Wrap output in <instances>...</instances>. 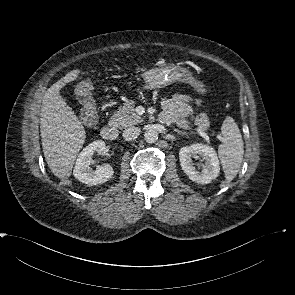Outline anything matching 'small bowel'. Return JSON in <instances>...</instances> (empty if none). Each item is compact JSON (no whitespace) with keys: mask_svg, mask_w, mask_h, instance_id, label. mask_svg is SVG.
I'll return each mask as SVG.
<instances>
[{"mask_svg":"<svg viewBox=\"0 0 295 295\" xmlns=\"http://www.w3.org/2000/svg\"><path fill=\"white\" fill-rule=\"evenodd\" d=\"M192 99L183 94H174L163 101L161 120L164 122H182L192 111Z\"/></svg>","mask_w":295,"mask_h":295,"instance_id":"small-bowel-1","label":"small bowel"}]
</instances>
